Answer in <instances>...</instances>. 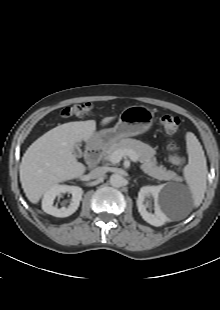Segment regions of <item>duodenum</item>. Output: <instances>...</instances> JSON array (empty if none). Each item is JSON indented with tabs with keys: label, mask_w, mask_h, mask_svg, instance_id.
Masks as SVG:
<instances>
[{
	"label": "duodenum",
	"mask_w": 220,
	"mask_h": 310,
	"mask_svg": "<svg viewBox=\"0 0 220 310\" xmlns=\"http://www.w3.org/2000/svg\"><path fill=\"white\" fill-rule=\"evenodd\" d=\"M104 148L102 145H96L89 149L86 155V160L89 167L96 166L103 154Z\"/></svg>",
	"instance_id": "410a0bca"
}]
</instances>
